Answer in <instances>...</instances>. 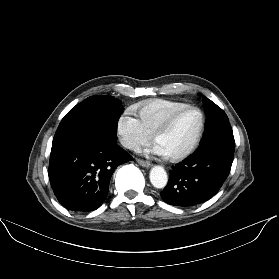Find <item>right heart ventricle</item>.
<instances>
[{
  "label": "right heart ventricle",
  "mask_w": 279,
  "mask_h": 279,
  "mask_svg": "<svg viewBox=\"0 0 279 279\" xmlns=\"http://www.w3.org/2000/svg\"><path fill=\"white\" fill-rule=\"evenodd\" d=\"M186 105L173 100L151 99L134 105L132 110L138 115L145 130L154 134L172 112Z\"/></svg>",
  "instance_id": "obj_1"
}]
</instances>
